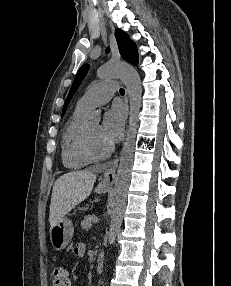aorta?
Wrapping results in <instances>:
<instances>
[{
	"label": "aorta",
	"instance_id": "obj_1",
	"mask_svg": "<svg viewBox=\"0 0 231 286\" xmlns=\"http://www.w3.org/2000/svg\"><path fill=\"white\" fill-rule=\"evenodd\" d=\"M97 75L100 78H120L126 87L130 104L129 125L121 151L111 204V222L108 231V243L111 245L115 242L116 235L121 227L126 207L138 128V115L141 108L142 85L136 69L125 63H106L98 69ZM88 120L99 122L100 113L97 111L90 112Z\"/></svg>",
	"mask_w": 231,
	"mask_h": 286
}]
</instances>
